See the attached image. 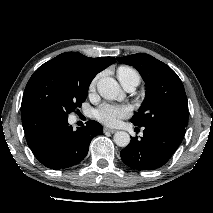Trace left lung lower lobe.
<instances>
[{
	"label": "left lung lower lobe",
	"mask_w": 213,
	"mask_h": 213,
	"mask_svg": "<svg viewBox=\"0 0 213 213\" xmlns=\"http://www.w3.org/2000/svg\"><path fill=\"white\" fill-rule=\"evenodd\" d=\"M184 134L172 127L144 126L143 137H131L121 158L128 167L139 171L160 168L177 150Z\"/></svg>",
	"instance_id": "1"
}]
</instances>
